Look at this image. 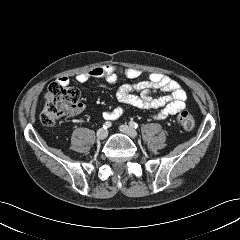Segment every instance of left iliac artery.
I'll return each instance as SVG.
<instances>
[{"label":"left iliac artery","instance_id":"obj_1","mask_svg":"<svg viewBox=\"0 0 240 240\" xmlns=\"http://www.w3.org/2000/svg\"><path fill=\"white\" fill-rule=\"evenodd\" d=\"M129 125L131 126V127H133V128H138V124L137 123H135L134 121H130L129 122Z\"/></svg>","mask_w":240,"mask_h":240}]
</instances>
